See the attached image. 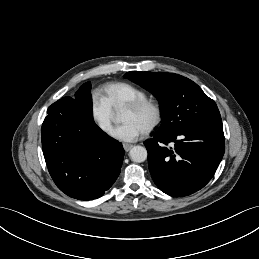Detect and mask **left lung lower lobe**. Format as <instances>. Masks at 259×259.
Segmentation results:
<instances>
[{
  "mask_svg": "<svg viewBox=\"0 0 259 259\" xmlns=\"http://www.w3.org/2000/svg\"><path fill=\"white\" fill-rule=\"evenodd\" d=\"M174 148L168 149V143ZM155 184L166 194L182 197L203 188L215 174L224 155L222 122L198 125L144 143Z\"/></svg>",
  "mask_w": 259,
  "mask_h": 259,
  "instance_id": "left-lung-lower-lobe-1",
  "label": "left lung lower lobe"
}]
</instances>
